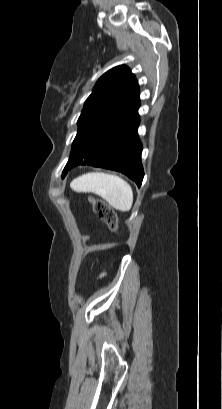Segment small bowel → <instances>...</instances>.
<instances>
[{
	"mask_svg": "<svg viewBox=\"0 0 222 409\" xmlns=\"http://www.w3.org/2000/svg\"><path fill=\"white\" fill-rule=\"evenodd\" d=\"M113 246H114L113 243L107 245L108 248H112Z\"/></svg>",
	"mask_w": 222,
	"mask_h": 409,
	"instance_id": "obj_1",
	"label": "small bowel"
}]
</instances>
